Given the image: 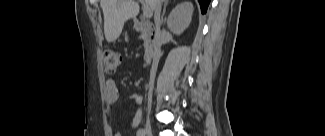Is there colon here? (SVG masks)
I'll list each match as a JSON object with an SVG mask.
<instances>
[{
  "mask_svg": "<svg viewBox=\"0 0 325 136\" xmlns=\"http://www.w3.org/2000/svg\"><path fill=\"white\" fill-rule=\"evenodd\" d=\"M121 63V55L113 49H106L103 53L104 70L107 73H114Z\"/></svg>",
  "mask_w": 325,
  "mask_h": 136,
  "instance_id": "obj_1",
  "label": "colon"
}]
</instances>
